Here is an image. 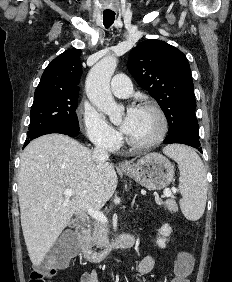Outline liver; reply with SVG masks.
I'll list each match as a JSON object with an SVG mask.
<instances>
[{
  "label": "liver",
  "instance_id": "6515ba94",
  "mask_svg": "<svg viewBox=\"0 0 232 282\" xmlns=\"http://www.w3.org/2000/svg\"><path fill=\"white\" fill-rule=\"evenodd\" d=\"M112 164L95 162L90 149L62 134L41 136L20 161L18 196L28 254L38 266L74 214L100 210L116 190ZM74 192L71 199L64 189Z\"/></svg>",
  "mask_w": 232,
  "mask_h": 282
}]
</instances>
